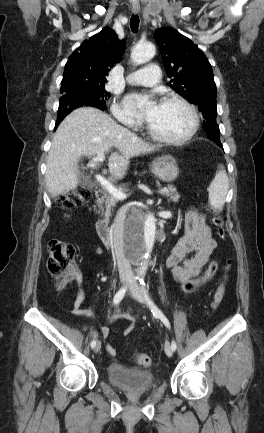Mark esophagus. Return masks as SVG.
<instances>
[{
    "label": "esophagus",
    "instance_id": "1",
    "mask_svg": "<svg viewBox=\"0 0 264 433\" xmlns=\"http://www.w3.org/2000/svg\"><path fill=\"white\" fill-rule=\"evenodd\" d=\"M132 11H133V13H139L140 12V5L138 2H133Z\"/></svg>",
    "mask_w": 264,
    "mask_h": 433
}]
</instances>
